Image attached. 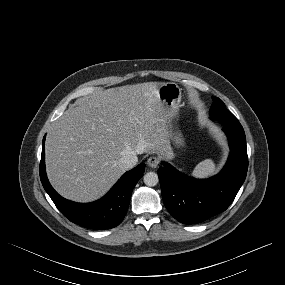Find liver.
Instances as JSON below:
<instances>
[{"instance_id":"obj_1","label":"liver","mask_w":285,"mask_h":285,"mask_svg":"<svg viewBox=\"0 0 285 285\" xmlns=\"http://www.w3.org/2000/svg\"><path fill=\"white\" fill-rule=\"evenodd\" d=\"M162 84L146 82L95 92L80 98L51 125L46 169L60 195L77 202L95 201L127 171L125 156H173V114L159 97Z\"/></svg>"}]
</instances>
